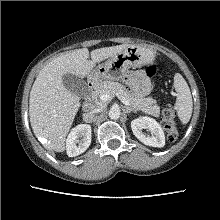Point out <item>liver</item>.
I'll return each mask as SVG.
<instances>
[{
  "label": "liver",
  "mask_w": 220,
  "mask_h": 220,
  "mask_svg": "<svg viewBox=\"0 0 220 220\" xmlns=\"http://www.w3.org/2000/svg\"><path fill=\"white\" fill-rule=\"evenodd\" d=\"M122 44L93 50L87 48L58 56L38 74L29 99V117L36 137L45 139L48 150L63 152L65 140L81 106L80 97L63 84V76L73 74L88 77L96 63L120 53L128 47Z\"/></svg>",
  "instance_id": "liver-1"
}]
</instances>
